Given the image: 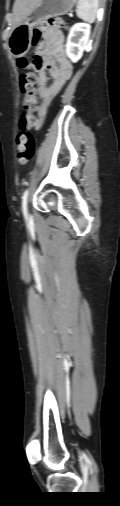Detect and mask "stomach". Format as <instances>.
Instances as JSON below:
<instances>
[{
    "instance_id": "stomach-1",
    "label": "stomach",
    "mask_w": 120,
    "mask_h": 506,
    "mask_svg": "<svg viewBox=\"0 0 120 506\" xmlns=\"http://www.w3.org/2000/svg\"><path fill=\"white\" fill-rule=\"evenodd\" d=\"M77 0H41L27 15V17L12 29L8 46L15 57L25 55L31 46L33 27L49 17L64 15L69 12Z\"/></svg>"
}]
</instances>
